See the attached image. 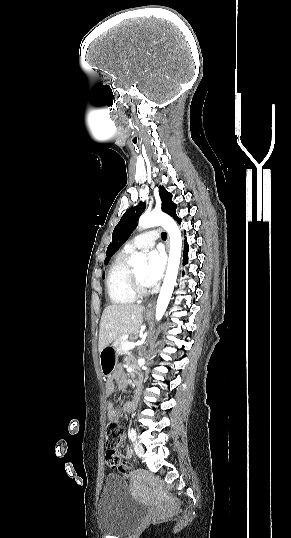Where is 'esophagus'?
Returning a JSON list of instances; mask_svg holds the SVG:
<instances>
[{"label":"esophagus","mask_w":291,"mask_h":538,"mask_svg":"<svg viewBox=\"0 0 291 538\" xmlns=\"http://www.w3.org/2000/svg\"><path fill=\"white\" fill-rule=\"evenodd\" d=\"M168 247H169V240H167V248H168ZM153 305H154V302H151V303L149 304V306H148V307H149V310H152Z\"/></svg>","instance_id":"esophagus-1"}]
</instances>
